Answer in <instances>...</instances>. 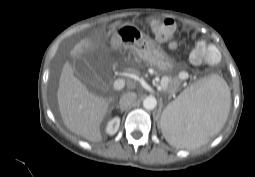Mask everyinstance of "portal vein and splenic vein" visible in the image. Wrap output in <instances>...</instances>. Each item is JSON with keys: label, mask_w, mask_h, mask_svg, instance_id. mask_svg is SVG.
Segmentation results:
<instances>
[{"label": "portal vein and splenic vein", "mask_w": 255, "mask_h": 177, "mask_svg": "<svg viewBox=\"0 0 255 177\" xmlns=\"http://www.w3.org/2000/svg\"><path fill=\"white\" fill-rule=\"evenodd\" d=\"M124 86H125V80L117 79V80L114 81L113 87H114L115 90H121L122 88H124ZM165 86H166L165 83H162V88L163 89H166Z\"/></svg>", "instance_id": "1"}]
</instances>
